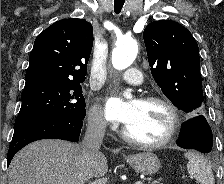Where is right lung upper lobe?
<instances>
[{"mask_svg": "<svg viewBox=\"0 0 224 184\" xmlns=\"http://www.w3.org/2000/svg\"><path fill=\"white\" fill-rule=\"evenodd\" d=\"M93 46V28L86 20L70 18L53 23L34 41L26 84L34 81L83 82Z\"/></svg>", "mask_w": 224, "mask_h": 184, "instance_id": "right-lung-upper-lobe-1", "label": "right lung upper lobe"}]
</instances>
